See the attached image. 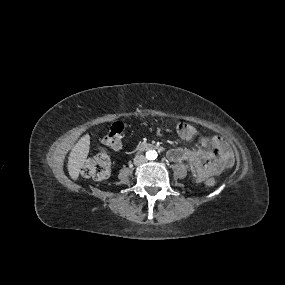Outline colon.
<instances>
[{"label": "colon", "instance_id": "5ec220e1", "mask_svg": "<svg viewBox=\"0 0 285 285\" xmlns=\"http://www.w3.org/2000/svg\"><path fill=\"white\" fill-rule=\"evenodd\" d=\"M124 129V125L120 122L112 124L103 139V144L112 149H120L123 146ZM177 133L182 139L190 141L197 135V130L193 125L181 122L177 126ZM110 172V159L103 149L99 150L94 156L88 158L81 169V173L84 177L93 178L95 180L107 179ZM205 184L208 187H213L216 184V181L214 178H208L205 181Z\"/></svg>", "mask_w": 285, "mask_h": 285}]
</instances>
